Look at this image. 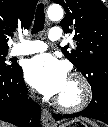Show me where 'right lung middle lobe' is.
Returning a JSON list of instances; mask_svg holds the SVG:
<instances>
[{
  "mask_svg": "<svg viewBox=\"0 0 108 127\" xmlns=\"http://www.w3.org/2000/svg\"><path fill=\"white\" fill-rule=\"evenodd\" d=\"M8 50H0V68L11 69L15 65H6L5 57L7 55Z\"/></svg>",
  "mask_w": 108,
  "mask_h": 127,
  "instance_id": "right-lung-middle-lobe-1",
  "label": "right lung middle lobe"
}]
</instances>
